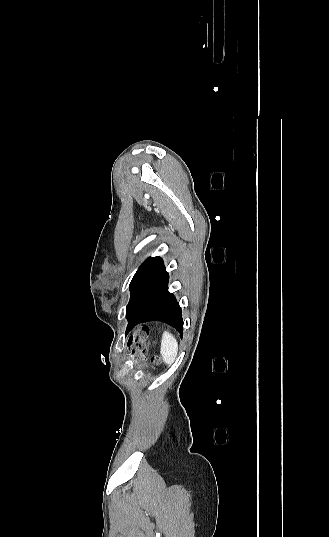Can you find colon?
<instances>
[{"mask_svg": "<svg viewBox=\"0 0 329 537\" xmlns=\"http://www.w3.org/2000/svg\"><path fill=\"white\" fill-rule=\"evenodd\" d=\"M147 332L142 330L136 332L133 337L128 342L129 347V358L132 362L136 364H142L145 362V337ZM151 362L153 365L159 364V358L157 356H153L151 358Z\"/></svg>", "mask_w": 329, "mask_h": 537, "instance_id": "5ec220e1", "label": "colon"}]
</instances>
